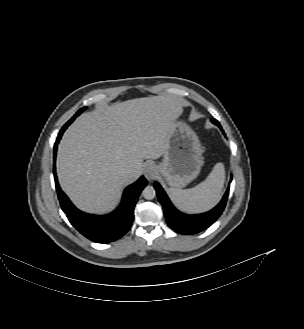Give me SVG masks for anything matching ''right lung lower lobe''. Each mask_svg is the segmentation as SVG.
Returning <instances> with one entry per match:
<instances>
[{"instance_id":"98d812e1","label":"right lung lower lobe","mask_w":304,"mask_h":329,"mask_svg":"<svg viewBox=\"0 0 304 329\" xmlns=\"http://www.w3.org/2000/svg\"><path fill=\"white\" fill-rule=\"evenodd\" d=\"M65 129H61L54 145V162L59 140ZM54 179L62 210L71 224L86 238L97 243H109L122 237L131 227L134 219V207L141 191L147 184L142 176L128 186L123 194L120 206L111 214L96 216L78 210L68 199L58 184L54 163Z\"/></svg>"}]
</instances>
